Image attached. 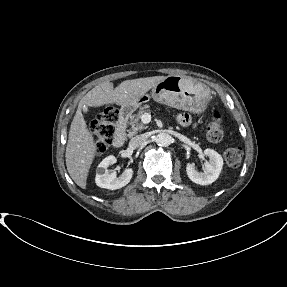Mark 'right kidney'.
<instances>
[{
    "label": "right kidney",
    "instance_id": "1",
    "mask_svg": "<svg viewBox=\"0 0 287 287\" xmlns=\"http://www.w3.org/2000/svg\"><path fill=\"white\" fill-rule=\"evenodd\" d=\"M115 156L110 155L104 158L97 167L95 182L96 185L110 190H116L126 186L133 175L132 168L125 169L124 172L117 177L116 172L109 173L108 167L116 163Z\"/></svg>",
    "mask_w": 287,
    "mask_h": 287
}]
</instances>
